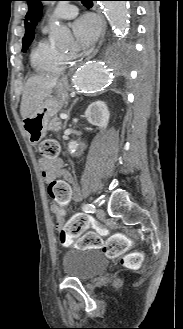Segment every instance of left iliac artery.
<instances>
[{
  "instance_id": "obj_1",
  "label": "left iliac artery",
  "mask_w": 183,
  "mask_h": 329,
  "mask_svg": "<svg viewBox=\"0 0 183 329\" xmlns=\"http://www.w3.org/2000/svg\"><path fill=\"white\" fill-rule=\"evenodd\" d=\"M82 209L86 213H94L95 212V206L93 204H85L82 207Z\"/></svg>"
}]
</instances>
